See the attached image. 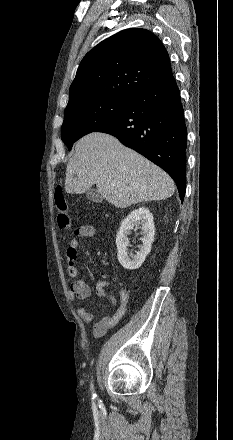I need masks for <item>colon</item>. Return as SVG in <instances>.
Listing matches in <instances>:
<instances>
[{"mask_svg":"<svg viewBox=\"0 0 233 440\" xmlns=\"http://www.w3.org/2000/svg\"><path fill=\"white\" fill-rule=\"evenodd\" d=\"M55 204L57 208V226L60 229H67L70 227V217L68 214L67 201L61 186L55 190Z\"/></svg>","mask_w":233,"mask_h":440,"instance_id":"obj_1","label":"colon"}]
</instances>
